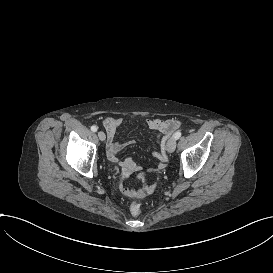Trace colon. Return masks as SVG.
<instances>
[{"mask_svg": "<svg viewBox=\"0 0 273 273\" xmlns=\"http://www.w3.org/2000/svg\"><path fill=\"white\" fill-rule=\"evenodd\" d=\"M147 188H145L143 185H140L138 187V190L136 192L138 193L137 199L135 200L134 203L130 204L128 207V210L130 213L134 215H138L141 211V206L140 204L142 201L145 199V191Z\"/></svg>", "mask_w": 273, "mask_h": 273, "instance_id": "1", "label": "colon"}]
</instances>
